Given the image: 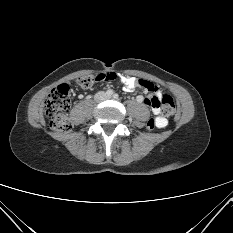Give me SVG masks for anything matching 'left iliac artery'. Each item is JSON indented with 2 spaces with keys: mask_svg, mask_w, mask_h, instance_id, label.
Segmentation results:
<instances>
[{
  "mask_svg": "<svg viewBox=\"0 0 233 233\" xmlns=\"http://www.w3.org/2000/svg\"><path fill=\"white\" fill-rule=\"evenodd\" d=\"M113 98H114V99H118V98H119V95H118V94H114V95H113Z\"/></svg>",
  "mask_w": 233,
  "mask_h": 233,
  "instance_id": "44dca946",
  "label": "left iliac artery"
}]
</instances>
